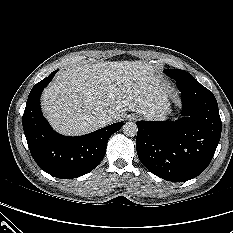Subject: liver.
Wrapping results in <instances>:
<instances>
[{
    "label": "liver",
    "instance_id": "6515ba94",
    "mask_svg": "<svg viewBox=\"0 0 233 233\" xmlns=\"http://www.w3.org/2000/svg\"><path fill=\"white\" fill-rule=\"evenodd\" d=\"M167 92L154 68L142 61L77 64L59 72L44 90L42 108L59 133L76 136L104 127L97 119L105 114L111 123L126 111L160 118Z\"/></svg>",
    "mask_w": 233,
    "mask_h": 233
}]
</instances>
